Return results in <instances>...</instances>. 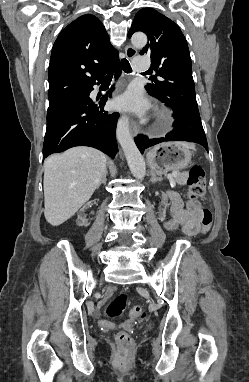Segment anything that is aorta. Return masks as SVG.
Listing matches in <instances>:
<instances>
[{"mask_svg": "<svg viewBox=\"0 0 249 382\" xmlns=\"http://www.w3.org/2000/svg\"><path fill=\"white\" fill-rule=\"evenodd\" d=\"M131 43L135 47L143 48L147 43V36L144 33H135L131 37ZM116 137L125 154L131 173L135 178L142 180L146 175L145 162L131 136L127 116H122L118 120Z\"/></svg>", "mask_w": 249, "mask_h": 382, "instance_id": "obj_1", "label": "aorta"}]
</instances>
